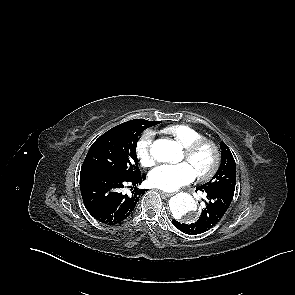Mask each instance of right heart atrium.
<instances>
[{"label":"right heart atrium","mask_w":295,"mask_h":295,"mask_svg":"<svg viewBox=\"0 0 295 295\" xmlns=\"http://www.w3.org/2000/svg\"><path fill=\"white\" fill-rule=\"evenodd\" d=\"M136 155L144 167H151L155 164L156 157L152 146V134L144 133L136 144Z\"/></svg>","instance_id":"right-heart-atrium-1"}]
</instances>
